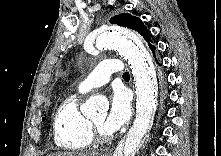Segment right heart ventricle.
<instances>
[{
  "label": "right heart ventricle",
  "mask_w": 221,
  "mask_h": 156,
  "mask_svg": "<svg viewBox=\"0 0 221 156\" xmlns=\"http://www.w3.org/2000/svg\"><path fill=\"white\" fill-rule=\"evenodd\" d=\"M80 99L81 93L70 94L62 101L55 113L54 142L61 149L83 150L92 143L89 120L79 108Z\"/></svg>",
  "instance_id": "e07e8e85"
}]
</instances>
